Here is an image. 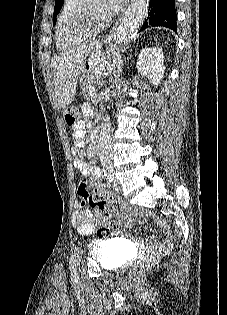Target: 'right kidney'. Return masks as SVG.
<instances>
[{
	"mask_svg": "<svg viewBox=\"0 0 227 315\" xmlns=\"http://www.w3.org/2000/svg\"><path fill=\"white\" fill-rule=\"evenodd\" d=\"M137 68L154 86L160 84L164 76V55L161 48H144L138 55Z\"/></svg>",
	"mask_w": 227,
	"mask_h": 315,
	"instance_id": "1",
	"label": "right kidney"
}]
</instances>
